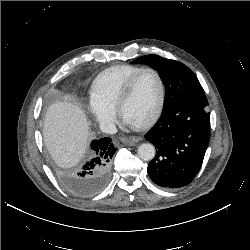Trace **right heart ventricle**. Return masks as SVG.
<instances>
[{
	"mask_svg": "<svg viewBox=\"0 0 250 250\" xmlns=\"http://www.w3.org/2000/svg\"><path fill=\"white\" fill-rule=\"evenodd\" d=\"M139 69H141L140 66L126 64L110 67L100 72L90 87V99L113 110L124 84Z\"/></svg>",
	"mask_w": 250,
	"mask_h": 250,
	"instance_id": "e07e8e85",
	"label": "right heart ventricle"
}]
</instances>
